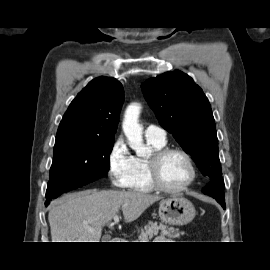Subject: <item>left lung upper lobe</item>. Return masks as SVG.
I'll list each match as a JSON object with an SVG mask.
<instances>
[{
	"mask_svg": "<svg viewBox=\"0 0 270 270\" xmlns=\"http://www.w3.org/2000/svg\"><path fill=\"white\" fill-rule=\"evenodd\" d=\"M143 94L160 125L193 156L203 175L222 176L210 103L187 74L175 70L143 83Z\"/></svg>",
	"mask_w": 270,
	"mask_h": 270,
	"instance_id": "left-lung-upper-lobe-1",
	"label": "left lung upper lobe"
}]
</instances>
